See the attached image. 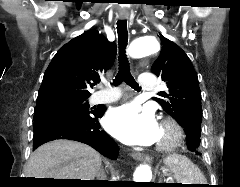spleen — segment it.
<instances>
[{
    "label": "spleen",
    "mask_w": 240,
    "mask_h": 187,
    "mask_svg": "<svg viewBox=\"0 0 240 187\" xmlns=\"http://www.w3.org/2000/svg\"><path fill=\"white\" fill-rule=\"evenodd\" d=\"M165 164L179 183L206 184V179L200 169L186 156L173 154L166 158Z\"/></svg>",
    "instance_id": "spleen-1"
}]
</instances>
